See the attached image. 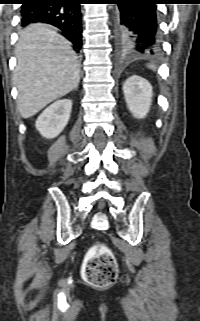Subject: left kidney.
<instances>
[{"mask_svg": "<svg viewBox=\"0 0 200 321\" xmlns=\"http://www.w3.org/2000/svg\"><path fill=\"white\" fill-rule=\"evenodd\" d=\"M123 93L132 115L138 119L145 118L152 103L151 84L138 75H132L124 82Z\"/></svg>", "mask_w": 200, "mask_h": 321, "instance_id": "1", "label": "left kidney"}]
</instances>
